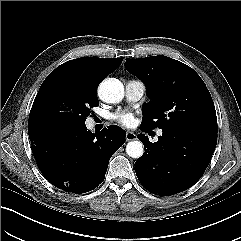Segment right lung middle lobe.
<instances>
[{
    "label": "right lung middle lobe",
    "instance_id": "right-lung-middle-lobe-1",
    "mask_svg": "<svg viewBox=\"0 0 241 241\" xmlns=\"http://www.w3.org/2000/svg\"><path fill=\"white\" fill-rule=\"evenodd\" d=\"M98 104L97 94L84 90L70 75L49 74L32 105L28 133L85 125L90 108Z\"/></svg>",
    "mask_w": 241,
    "mask_h": 241
}]
</instances>
